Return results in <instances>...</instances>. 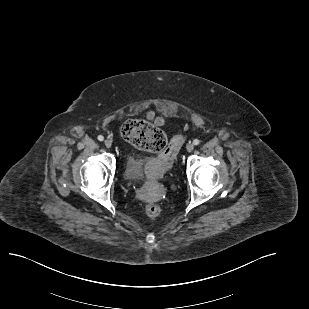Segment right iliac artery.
I'll return each mask as SVG.
<instances>
[{
    "label": "right iliac artery",
    "instance_id": "1",
    "mask_svg": "<svg viewBox=\"0 0 309 309\" xmlns=\"http://www.w3.org/2000/svg\"><path fill=\"white\" fill-rule=\"evenodd\" d=\"M98 140H99V141H103V140H104V137H103L102 135H99V136H98Z\"/></svg>",
    "mask_w": 309,
    "mask_h": 309
}]
</instances>
